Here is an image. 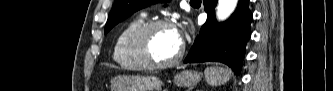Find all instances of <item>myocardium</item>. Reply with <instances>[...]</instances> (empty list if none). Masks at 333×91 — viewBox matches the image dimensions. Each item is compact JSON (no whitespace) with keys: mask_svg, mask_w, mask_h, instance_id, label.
I'll return each instance as SVG.
<instances>
[{"mask_svg":"<svg viewBox=\"0 0 333 91\" xmlns=\"http://www.w3.org/2000/svg\"><path fill=\"white\" fill-rule=\"evenodd\" d=\"M172 28L175 26L167 20H155L142 24L133 31L129 39V50L133 58L144 68L149 69H164L177 64L183 57L185 46L181 43L178 53L168 61H154L151 59L148 52V41L151 34L159 28Z\"/></svg>","mask_w":333,"mask_h":91,"instance_id":"1","label":"myocardium"}]
</instances>
